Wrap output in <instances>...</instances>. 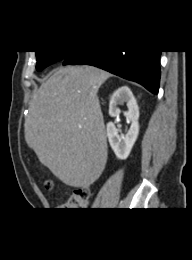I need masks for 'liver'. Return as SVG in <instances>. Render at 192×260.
<instances>
[{
	"label": "liver",
	"instance_id": "liver-1",
	"mask_svg": "<svg viewBox=\"0 0 192 260\" xmlns=\"http://www.w3.org/2000/svg\"><path fill=\"white\" fill-rule=\"evenodd\" d=\"M110 76L89 65L59 68L30 103L26 143L68 186L88 187L105 169L107 140L97 93Z\"/></svg>",
	"mask_w": 192,
	"mask_h": 260
}]
</instances>
